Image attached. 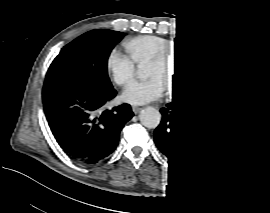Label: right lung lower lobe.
Instances as JSON below:
<instances>
[{"instance_id":"1","label":"right lung lower lobe","mask_w":270,"mask_h":213,"mask_svg":"<svg viewBox=\"0 0 270 213\" xmlns=\"http://www.w3.org/2000/svg\"><path fill=\"white\" fill-rule=\"evenodd\" d=\"M116 91L82 81H49L42 98L46 119L63 151L73 160L93 165L117 147L120 131L133 117L129 104L108 108Z\"/></svg>"}]
</instances>
